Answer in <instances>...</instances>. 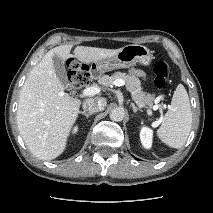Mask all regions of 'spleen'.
<instances>
[{"label": "spleen", "mask_w": 213, "mask_h": 213, "mask_svg": "<svg viewBox=\"0 0 213 213\" xmlns=\"http://www.w3.org/2000/svg\"><path fill=\"white\" fill-rule=\"evenodd\" d=\"M192 111L185 87L179 84L174 91L171 105L163 122L157 130V136L171 148H181L191 131Z\"/></svg>", "instance_id": "3e777b00"}]
</instances>
